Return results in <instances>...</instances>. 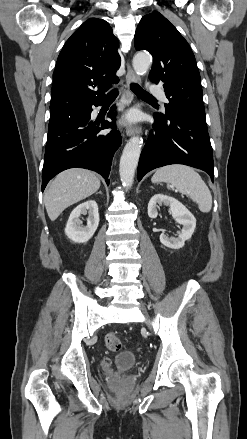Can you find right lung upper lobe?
I'll use <instances>...</instances> for the list:
<instances>
[{"mask_svg":"<svg viewBox=\"0 0 247 439\" xmlns=\"http://www.w3.org/2000/svg\"><path fill=\"white\" fill-rule=\"evenodd\" d=\"M118 45L105 20L91 18L84 22L58 56L50 112L104 99L110 85L118 82L116 71L121 63ZM95 87L97 91L93 90Z\"/></svg>","mask_w":247,"mask_h":439,"instance_id":"obj_1","label":"right lung upper lobe"}]
</instances>
